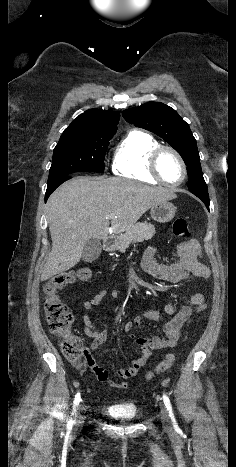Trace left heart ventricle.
<instances>
[{"label": "left heart ventricle", "instance_id": "b2bd125f", "mask_svg": "<svg viewBox=\"0 0 236 467\" xmlns=\"http://www.w3.org/2000/svg\"><path fill=\"white\" fill-rule=\"evenodd\" d=\"M159 170L165 181L176 183L182 178V167L178 159L170 152H164L159 160Z\"/></svg>", "mask_w": 236, "mask_h": 467}]
</instances>
